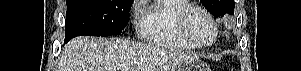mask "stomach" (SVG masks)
<instances>
[{"instance_id":"obj_1","label":"stomach","mask_w":301,"mask_h":71,"mask_svg":"<svg viewBox=\"0 0 301 71\" xmlns=\"http://www.w3.org/2000/svg\"><path fill=\"white\" fill-rule=\"evenodd\" d=\"M171 71H210L206 63L197 57H189L179 65L172 68Z\"/></svg>"}]
</instances>
